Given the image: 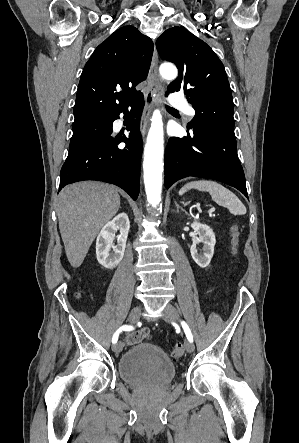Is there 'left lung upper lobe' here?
<instances>
[{"instance_id": "obj_1", "label": "left lung upper lobe", "mask_w": 299, "mask_h": 443, "mask_svg": "<svg viewBox=\"0 0 299 443\" xmlns=\"http://www.w3.org/2000/svg\"><path fill=\"white\" fill-rule=\"evenodd\" d=\"M163 60L176 64L179 75L166 95L183 90L196 115L188 129L207 126L234 136V104L225 68L214 51L182 27L166 30L156 42Z\"/></svg>"}]
</instances>
